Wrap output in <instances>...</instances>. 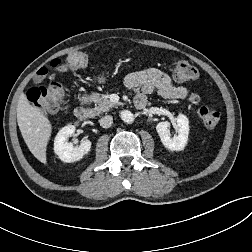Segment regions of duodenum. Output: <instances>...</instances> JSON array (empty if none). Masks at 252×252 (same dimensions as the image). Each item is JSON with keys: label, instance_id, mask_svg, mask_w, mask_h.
<instances>
[{"label": "duodenum", "instance_id": "1", "mask_svg": "<svg viewBox=\"0 0 252 252\" xmlns=\"http://www.w3.org/2000/svg\"><path fill=\"white\" fill-rule=\"evenodd\" d=\"M146 103L141 102L140 103V107H144ZM74 115L75 117L79 120V121H87L92 117V111L89 108L86 107H78L75 111H74Z\"/></svg>", "mask_w": 252, "mask_h": 252}]
</instances>
